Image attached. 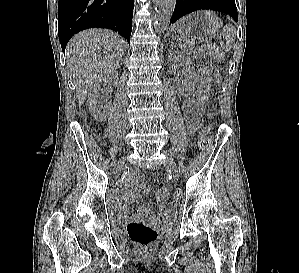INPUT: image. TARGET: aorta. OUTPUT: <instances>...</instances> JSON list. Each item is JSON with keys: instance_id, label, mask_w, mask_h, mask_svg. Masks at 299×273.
I'll list each match as a JSON object with an SVG mask.
<instances>
[{"instance_id": "762f6f07", "label": "aorta", "mask_w": 299, "mask_h": 273, "mask_svg": "<svg viewBox=\"0 0 299 273\" xmlns=\"http://www.w3.org/2000/svg\"><path fill=\"white\" fill-rule=\"evenodd\" d=\"M175 4L176 0H157L155 20L159 32H164L168 28Z\"/></svg>"}]
</instances>
